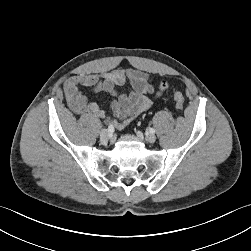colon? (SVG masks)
<instances>
[{"label":"colon","mask_w":251,"mask_h":251,"mask_svg":"<svg viewBox=\"0 0 251 251\" xmlns=\"http://www.w3.org/2000/svg\"><path fill=\"white\" fill-rule=\"evenodd\" d=\"M173 97H174V101H175L176 107L179 110H183L184 103H185V99H184L183 94L180 91H176V92H174V96Z\"/></svg>","instance_id":"5ec220e1"}]
</instances>
